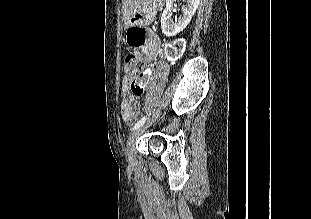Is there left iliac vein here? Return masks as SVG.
Instances as JSON below:
<instances>
[{"mask_svg":"<svg viewBox=\"0 0 311 219\" xmlns=\"http://www.w3.org/2000/svg\"><path fill=\"white\" fill-rule=\"evenodd\" d=\"M154 121V120H153ZM152 122L147 123L146 125H142L141 127L133 130L131 134L129 135V138L126 143V153L129 161L132 160L133 151L135 147V143L138 139V137L145 131V129L151 125Z\"/></svg>","mask_w":311,"mask_h":219,"instance_id":"1","label":"left iliac vein"}]
</instances>
